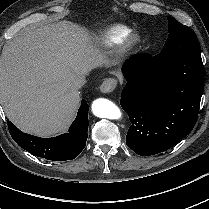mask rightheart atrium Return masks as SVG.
Masks as SVG:
<instances>
[{
	"label": "right heart atrium",
	"mask_w": 209,
	"mask_h": 209,
	"mask_svg": "<svg viewBox=\"0 0 209 209\" xmlns=\"http://www.w3.org/2000/svg\"><path fill=\"white\" fill-rule=\"evenodd\" d=\"M77 77L78 73L75 70L71 69L67 74L66 80L68 83H72L77 79Z\"/></svg>",
	"instance_id": "obj_1"
}]
</instances>
